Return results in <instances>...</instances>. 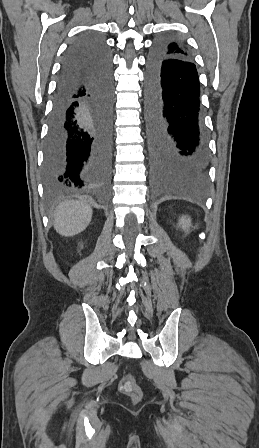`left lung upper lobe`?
<instances>
[{"label":"left lung upper lobe","instance_id":"obj_1","mask_svg":"<svg viewBox=\"0 0 259 448\" xmlns=\"http://www.w3.org/2000/svg\"><path fill=\"white\" fill-rule=\"evenodd\" d=\"M159 51L161 56L165 58L180 57L186 60H193L190 52L178 38H170L159 48Z\"/></svg>","mask_w":259,"mask_h":448}]
</instances>
